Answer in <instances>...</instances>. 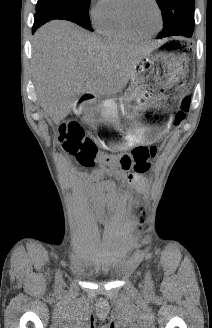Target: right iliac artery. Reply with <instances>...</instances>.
Wrapping results in <instances>:
<instances>
[{
	"mask_svg": "<svg viewBox=\"0 0 212 328\" xmlns=\"http://www.w3.org/2000/svg\"><path fill=\"white\" fill-rule=\"evenodd\" d=\"M61 277L60 271L56 273V282H59V279Z\"/></svg>",
	"mask_w": 212,
	"mask_h": 328,
	"instance_id": "82829eb1",
	"label": "right iliac artery"
}]
</instances>
